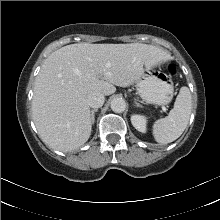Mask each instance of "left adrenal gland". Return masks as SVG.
Segmentation results:
<instances>
[{"label": "left adrenal gland", "instance_id": "a2214340", "mask_svg": "<svg viewBox=\"0 0 220 220\" xmlns=\"http://www.w3.org/2000/svg\"><path fill=\"white\" fill-rule=\"evenodd\" d=\"M136 106H140L137 102H135Z\"/></svg>", "mask_w": 220, "mask_h": 220}]
</instances>
